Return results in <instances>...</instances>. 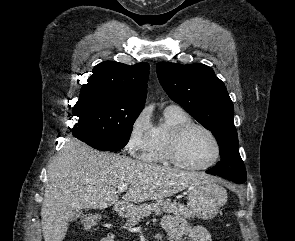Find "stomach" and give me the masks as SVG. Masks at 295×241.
Listing matches in <instances>:
<instances>
[{
	"mask_svg": "<svg viewBox=\"0 0 295 241\" xmlns=\"http://www.w3.org/2000/svg\"><path fill=\"white\" fill-rule=\"evenodd\" d=\"M226 201V190L213 180L189 187L188 206L193 215L200 219L214 218Z\"/></svg>",
	"mask_w": 295,
	"mask_h": 241,
	"instance_id": "0dacf381",
	"label": "stomach"
}]
</instances>
